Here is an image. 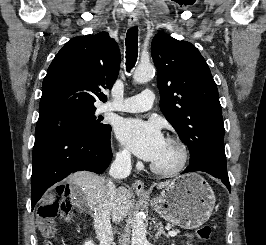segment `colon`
Masks as SVG:
<instances>
[{"mask_svg":"<svg viewBox=\"0 0 266 245\" xmlns=\"http://www.w3.org/2000/svg\"><path fill=\"white\" fill-rule=\"evenodd\" d=\"M60 200H54L37 209V227L45 239V245L54 244L55 219L58 214ZM212 233L210 225H204L197 229L196 235L200 240H208Z\"/></svg>","mask_w":266,"mask_h":245,"instance_id":"1","label":"colon"}]
</instances>
